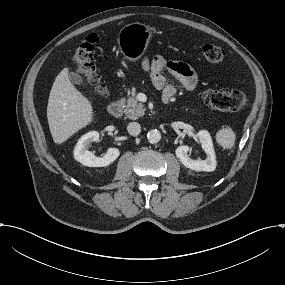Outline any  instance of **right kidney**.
<instances>
[{
	"label": "right kidney",
	"mask_w": 285,
	"mask_h": 285,
	"mask_svg": "<svg viewBox=\"0 0 285 285\" xmlns=\"http://www.w3.org/2000/svg\"><path fill=\"white\" fill-rule=\"evenodd\" d=\"M98 140L99 133L97 131H90L81 136L74 148L75 160L89 167H103L115 161L120 154L117 148H109L103 157H96L92 152L87 150L90 142Z\"/></svg>",
	"instance_id": "1"
}]
</instances>
